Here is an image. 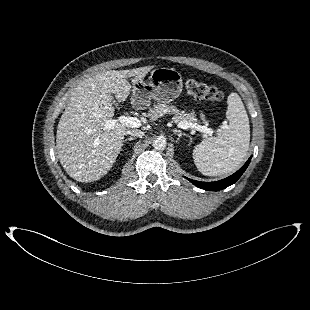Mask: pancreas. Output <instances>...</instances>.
Instances as JSON below:
<instances>
[{
  "instance_id": "1",
  "label": "pancreas",
  "mask_w": 310,
  "mask_h": 310,
  "mask_svg": "<svg viewBox=\"0 0 310 310\" xmlns=\"http://www.w3.org/2000/svg\"><path fill=\"white\" fill-rule=\"evenodd\" d=\"M166 113L173 114L172 121L174 123H196L197 119L194 113H186L185 111H179L177 107L165 104H156L148 111V117L151 120H156ZM206 123V122H205Z\"/></svg>"
}]
</instances>
